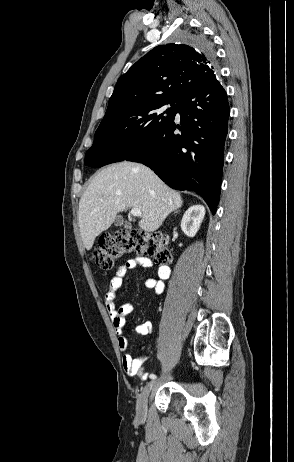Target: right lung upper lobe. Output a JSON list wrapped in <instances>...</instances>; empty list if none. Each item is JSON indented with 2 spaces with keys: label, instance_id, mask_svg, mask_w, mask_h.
<instances>
[{
  "label": "right lung upper lobe",
  "instance_id": "obj_1",
  "mask_svg": "<svg viewBox=\"0 0 294 462\" xmlns=\"http://www.w3.org/2000/svg\"><path fill=\"white\" fill-rule=\"evenodd\" d=\"M217 74L213 51L180 43L159 45L118 79L105 116L152 98L182 97Z\"/></svg>",
  "mask_w": 294,
  "mask_h": 462
}]
</instances>
